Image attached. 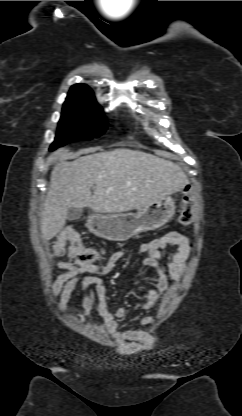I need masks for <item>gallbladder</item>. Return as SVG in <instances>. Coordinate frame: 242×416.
I'll use <instances>...</instances> for the list:
<instances>
[{
    "mask_svg": "<svg viewBox=\"0 0 242 416\" xmlns=\"http://www.w3.org/2000/svg\"><path fill=\"white\" fill-rule=\"evenodd\" d=\"M83 210L80 208L70 207L67 211V219L69 221L77 220L82 216Z\"/></svg>",
    "mask_w": 242,
    "mask_h": 416,
    "instance_id": "bac80fb5",
    "label": "gallbladder"
}]
</instances>
